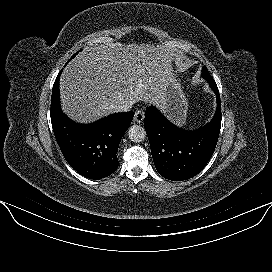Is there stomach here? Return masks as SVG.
Listing matches in <instances>:
<instances>
[{
	"mask_svg": "<svg viewBox=\"0 0 272 272\" xmlns=\"http://www.w3.org/2000/svg\"><path fill=\"white\" fill-rule=\"evenodd\" d=\"M161 109L167 117L178 126L186 121L188 102L173 69L170 70L164 91V103Z\"/></svg>",
	"mask_w": 272,
	"mask_h": 272,
	"instance_id": "stomach-1",
	"label": "stomach"
}]
</instances>
